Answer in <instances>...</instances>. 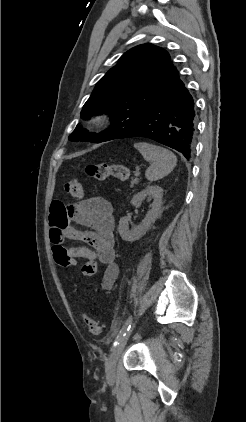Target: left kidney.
<instances>
[{
    "instance_id": "1",
    "label": "left kidney",
    "mask_w": 246,
    "mask_h": 422,
    "mask_svg": "<svg viewBox=\"0 0 246 422\" xmlns=\"http://www.w3.org/2000/svg\"><path fill=\"white\" fill-rule=\"evenodd\" d=\"M163 189L158 185L147 186L144 190L135 194L131 200L133 206H140L145 198L153 199L151 209L139 226H134L129 230L130 218L125 216L119 221L118 231L125 241L133 242L141 238L158 217L162 205Z\"/></svg>"
}]
</instances>
